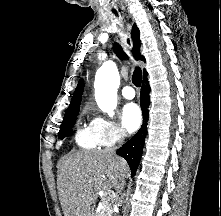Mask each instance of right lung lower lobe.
Here are the masks:
<instances>
[{"instance_id": "98d812e1", "label": "right lung lower lobe", "mask_w": 221, "mask_h": 216, "mask_svg": "<svg viewBox=\"0 0 221 216\" xmlns=\"http://www.w3.org/2000/svg\"><path fill=\"white\" fill-rule=\"evenodd\" d=\"M149 92L150 87L146 76L144 77V83L142 85L140 93V105L145 117V122L143 123L140 130L116 152L119 156L123 157L128 162L131 169L132 177L137 171L146 137V128L148 120L146 115L148 113V106L150 104Z\"/></svg>"}]
</instances>
